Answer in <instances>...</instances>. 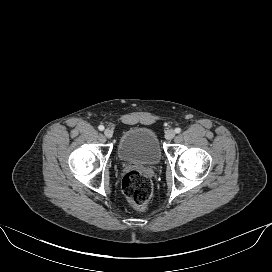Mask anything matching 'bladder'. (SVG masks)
<instances>
[{"label":"bladder","mask_w":272,"mask_h":272,"mask_svg":"<svg viewBox=\"0 0 272 272\" xmlns=\"http://www.w3.org/2000/svg\"><path fill=\"white\" fill-rule=\"evenodd\" d=\"M117 156L126 163L146 166L158 164L162 149L157 134L145 127L127 130L119 140Z\"/></svg>","instance_id":"obj_1"}]
</instances>
